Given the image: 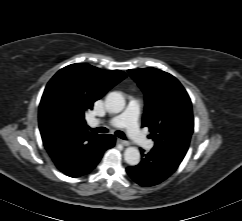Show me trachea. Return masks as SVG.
<instances>
[{
	"label": "trachea",
	"mask_w": 242,
	"mask_h": 221,
	"mask_svg": "<svg viewBox=\"0 0 242 221\" xmlns=\"http://www.w3.org/2000/svg\"><path fill=\"white\" fill-rule=\"evenodd\" d=\"M89 130H92V131L97 132V133H107L108 132V129L105 128V127H98V128H93V129L89 128ZM115 134L119 138L127 140L125 134L122 131H116Z\"/></svg>",
	"instance_id": "obj_1"
}]
</instances>
